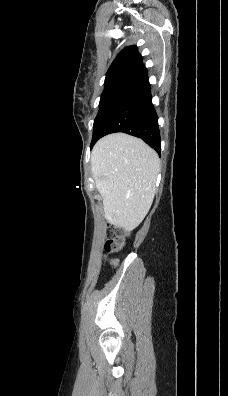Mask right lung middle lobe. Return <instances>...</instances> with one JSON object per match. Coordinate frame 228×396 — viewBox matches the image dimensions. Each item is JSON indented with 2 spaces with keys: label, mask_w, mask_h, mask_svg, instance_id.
<instances>
[{
  "label": "right lung middle lobe",
  "mask_w": 228,
  "mask_h": 396,
  "mask_svg": "<svg viewBox=\"0 0 228 396\" xmlns=\"http://www.w3.org/2000/svg\"><path fill=\"white\" fill-rule=\"evenodd\" d=\"M125 88V86L122 85H110V86H105L104 91L101 95L100 103H99V111L98 114L94 120V126L96 125L97 121L103 114V112L106 110L108 105L114 100L115 97H117L120 92ZM94 133V130H93Z\"/></svg>",
  "instance_id": "dd1d6c3e"
}]
</instances>
